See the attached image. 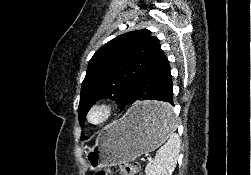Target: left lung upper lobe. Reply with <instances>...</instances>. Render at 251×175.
Masks as SVG:
<instances>
[{
  "instance_id": "1",
  "label": "left lung upper lobe",
  "mask_w": 251,
  "mask_h": 175,
  "mask_svg": "<svg viewBox=\"0 0 251 175\" xmlns=\"http://www.w3.org/2000/svg\"><path fill=\"white\" fill-rule=\"evenodd\" d=\"M163 56L158 38L146 29L117 36L99 48L88 64L81 86V126L90 107L99 99L111 98L119 106L126 103L137 82ZM81 139H87L83 132Z\"/></svg>"
}]
</instances>
